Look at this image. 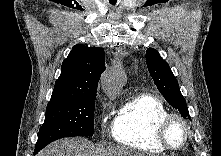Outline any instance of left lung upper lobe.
<instances>
[{
    "label": "left lung upper lobe",
    "mask_w": 221,
    "mask_h": 156,
    "mask_svg": "<svg viewBox=\"0 0 221 156\" xmlns=\"http://www.w3.org/2000/svg\"><path fill=\"white\" fill-rule=\"evenodd\" d=\"M146 62L149 73L165 100L175 109H178L184 118H190L186 101L180 92L178 81L168 63L153 48L147 49Z\"/></svg>",
    "instance_id": "1"
}]
</instances>
